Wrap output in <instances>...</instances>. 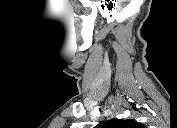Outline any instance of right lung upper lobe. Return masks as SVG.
I'll return each mask as SVG.
<instances>
[{
    "label": "right lung upper lobe",
    "instance_id": "1",
    "mask_svg": "<svg viewBox=\"0 0 177 128\" xmlns=\"http://www.w3.org/2000/svg\"><path fill=\"white\" fill-rule=\"evenodd\" d=\"M100 128H143L144 126L133 119H110L98 125Z\"/></svg>",
    "mask_w": 177,
    "mask_h": 128
}]
</instances>
